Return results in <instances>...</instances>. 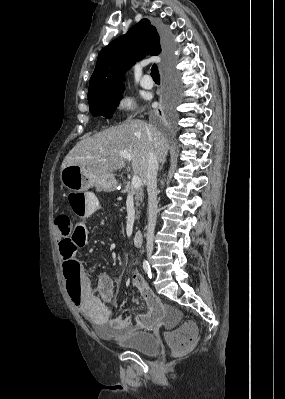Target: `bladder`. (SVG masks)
Returning a JSON list of instances; mask_svg holds the SVG:
<instances>
[{
  "instance_id": "bladder-1",
  "label": "bladder",
  "mask_w": 285,
  "mask_h": 399,
  "mask_svg": "<svg viewBox=\"0 0 285 399\" xmlns=\"http://www.w3.org/2000/svg\"><path fill=\"white\" fill-rule=\"evenodd\" d=\"M98 332L106 335L102 327L98 328ZM112 340L126 349L135 350L145 355H156L159 351L157 340L154 334L150 332H133L127 337L113 338Z\"/></svg>"
}]
</instances>
